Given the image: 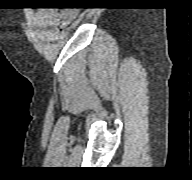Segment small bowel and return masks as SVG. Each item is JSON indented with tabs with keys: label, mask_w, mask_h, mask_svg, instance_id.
Masks as SVG:
<instances>
[{
	"label": "small bowel",
	"mask_w": 192,
	"mask_h": 180,
	"mask_svg": "<svg viewBox=\"0 0 192 180\" xmlns=\"http://www.w3.org/2000/svg\"><path fill=\"white\" fill-rule=\"evenodd\" d=\"M34 21L39 27H49L58 24L60 21L67 23L69 14L55 10H40L35 14Z\"/></svg>",
	"instance_id": "1"
}]
</instances>
